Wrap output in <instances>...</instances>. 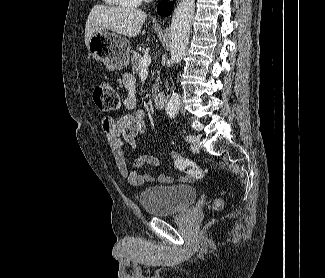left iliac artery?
Returning a JSON list of instances; mask_svg holds the SVG:
<instances>
[{
	"mask_svg": "<svg viewBox=\"0 0 325 278\" xmlns=\"http://www.w3.org/2000/svg\"><path fill=\"white\" fill-rule=\"evenodd\" d=\"M186 140H187L188 142L193 143V142L195 141V137L192 136V135H189V136H187Z\"/></svg>",
	"mask_w": 325,
	"mask_h": 278,
	"instance_id": "obj_1",
	"label": "left iliac artery"
}]
</instances>
